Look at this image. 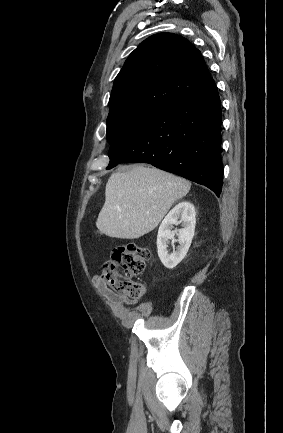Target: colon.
<instances>
[{"mask_svg": "<svg viewBox=\"0 0 283 433\" xmlns=\"http://www.w3.org/2000/svg\"><path fill=\"white\" fill-rule=\"evenodd\" d=\"M150 259V251L136 244L114 248L110 258L103 263L101 278L116 294L139 299L145 293L142 283L133 280L140 275Z\"/></svg>", "mask_w": 283, "mask_h": 433, "instance_id": "obj_1", "label": "colon"}]
</instances>
